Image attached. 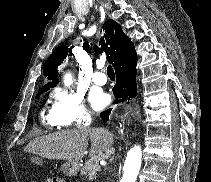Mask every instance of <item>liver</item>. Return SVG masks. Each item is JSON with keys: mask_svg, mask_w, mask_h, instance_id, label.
I'll use <instances>...</instances> for the list:
<instances>
[{"mask_svg": "<svg viewBox=\"0 0 211 182\" xmlns=\"http://www.w3.org/2000/svg\"><path fill=\"white\" fill-rule=\"evenodd\" d=\"M89 139L91 142L90 156L103 153L114 142L112 133L106 129L79 128L59 131L33 139L25 150L47 159L81 160L88 152Z\"/></svg>", "mask_w": 211, "mask_h": 182, "instance_id": "6515ba94", "label": "liver"}]
</instances>
